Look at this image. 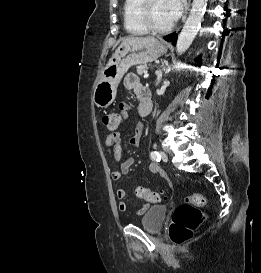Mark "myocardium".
<instances>
[{"mask_svg": "<svg viewBox=\"0 0 261 273\" xmlns=\"http://www.w3.org/2000/svg\"><path fill=\"white\" fill-rule=\"evenodd\" d=\"M152 3L153 0H141V4L139 6V20L141 23L149 30L152 32H167L171 30L174 25L175 21L172 23L165 25V26H159L154 23L152 14H151V8H152Z\"/></svg>", "mask_w": 261, "mask_h": 273, "instance_id": "1", "label": "myocardium"}]
</instances>
